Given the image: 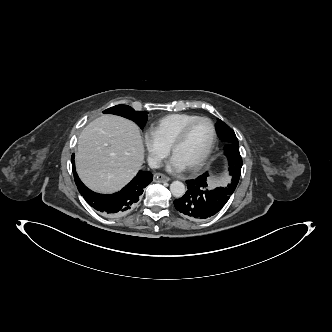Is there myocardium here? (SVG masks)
<instances>
[{
	"label": "myocardium",
	"mask_w": 332,
	"mask_h": 332,
	"mask_svg": "<svg viewBox=\"0 0 332 332\" xmlns=\"http://www.w3.org/2000/svg\"><path fill=\"white\" fill-rule=\"evenodd\" d=\"M200 121H207L211 125L212 139H211V142H210L208 148L204 152V154L193 165L186 168L190 172H196V171L200 170L204 166L206 161L209 159L211 153L213 152V149H214L215 144L217 142V129H216V126H215L214 122L208 117H197V118L193 119L192 121L188 122L180 130V132L175 137V139L173 140V142L171 143V145L169 147L170 153L173 154L175 149L178 146H180L182 144V142L185 140V138H186L189 130L192 128V126L194 124H196L197 122H200Z\"/></svg>",
	"instance_id": "myocardium-1"
}]
</instances>
